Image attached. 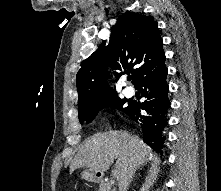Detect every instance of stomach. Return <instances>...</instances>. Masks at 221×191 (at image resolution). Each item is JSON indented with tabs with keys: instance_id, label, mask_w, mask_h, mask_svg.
Returning a JSON list of instances; mask_svg holds the SVG:
<instances>
[{
	"instance_id": "obj_1",
	"label": "stomach",
	"mask_w": 221,
	"mask_h": 191,
	"mask_svg": "<svg viewBox=\"0 0 221 191\" xmlns=\"http://www.w3.org/2000/svg\"><path fill=\"white\" fill-rule=\"evenodd\" d=\"M81 176L84 180L88 182H94L97 183L102 179V173L91 170V169H86L81 173Z\"/></svg>"
}]
</instances>
